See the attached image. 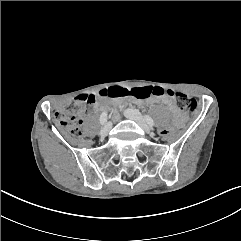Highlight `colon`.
Here are the masks:
<instances>
[{
    "label": "colon",
    "instance_id": "5ec220e1",
    "mask_svg": "<svg viewBox=\"0 0 241 241\" xmlns=\"http://www.w3.org/2000/svg\"><path fill=\"white\" fill-rule=\"evenodd\" d=\"M169 97L175 101L177 106L190 113L194 114L197 110V102L192 97L185 94L174 92L172 90H165L158 86H140V87H122L112 86L99 92L98 95L83 94L77 96L72 103L63 107L55 113V120L57 123L69 132L73 136H79L81 116L86 110L92 106L98 97H133L136 99H146L150 96ZM175 129L172 125L166 127L157 128L155 135L157 137L166 138L167 136H173Z\"/></svg>",
    "mask_w": 241,
    "mask_h": 241
}]
</instances>
